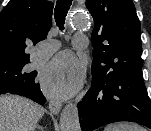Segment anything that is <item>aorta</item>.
<instances>
[{"instance_id": "aorta-1", "label": "aorta", "mask_w": 151, "mask_h": 131, "mask_svg": "<svg viewBox=\"0 0 151 131\" xmlns=\"http://www.w3.org/2000/svg\"><path fill=\"white\" fill-rule=\"evenodd\" d=\"M87 18L85 16L76 15L71 21V25L76 28H84L87 26ZM61 131H80V122L78 108L75 104L69 102L60 114Z\"/></svg>"}]
</instances>
